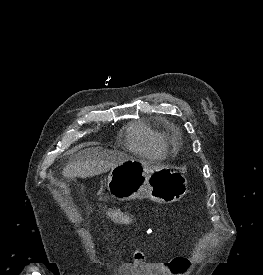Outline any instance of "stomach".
<instances>
[{
	"label": "stomach",
	"mask_w": 263,
	"mask_h": 275,
	"mask_svg": "<svg viewBox=\"0 0 263 275\" xmlns=\"http://www.w3.org/2000/svg\"><path fill=\"white\" fill-rule=\"evenodd\" d=\"M107 189L120 201L146 196L161 204L179 201L188 191L187 180L180 172L132 157L112 168Z\"/></svg>",
	"instance_id": "1"
}]
</instances>
